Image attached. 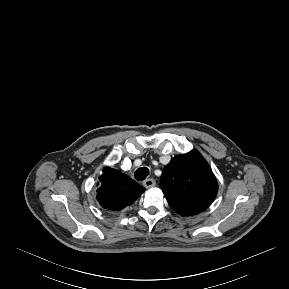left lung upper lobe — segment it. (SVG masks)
Returning <instances> with one entry per match:
<instances>
[{
    "mask_svg": "<svg viewBox=\"0 0 289 289\" xmlns=\"http://www.w3.org/2000/svg\"><path fill=\"white\" fill-rule=\"evenodd\" d=\"M160 187L169 205L184 216L204 211L218 191L210 166L195 150L170 161L161 176Z\"/></svg>",
    "mask_w": 289,
    "mask_h": 289,
    "instance_id": "obj_1",
    "label": "left lung upper lobe"
}]
</instances>
